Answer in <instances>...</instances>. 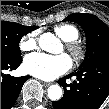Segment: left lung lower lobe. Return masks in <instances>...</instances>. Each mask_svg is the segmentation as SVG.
Returning <instances> with one entry per match:
<instances>
[{
  "instance_id": "1",
  "label": "left lung lower lobe",
  "mask_w": 109,
  "mask_h": 109,
  "mask_svg": "<svg viewBox=\"0 0 109 109\" xmlns=\"http://www.w3.org/2000/svg\"><path fill=\"white\" fill-rule=\"evenodd\" d=\"M72 76L77 78L70 84V90L78 88L80 97L76 102H69L66 80ZM58 84L64 88V95L60 101L52 102L54 109H98L109 96V58L80 68L78 71L61 78Z\"/></svg>"
}]
</instances>
